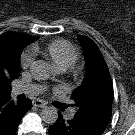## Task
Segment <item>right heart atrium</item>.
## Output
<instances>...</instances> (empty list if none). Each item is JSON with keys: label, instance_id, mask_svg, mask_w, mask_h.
I'll list each match as a JSON object with an SVG mask.
<instances>
[{"label": "right heart atrium", "instance_id": "1", "mask_svg": "<svg viewBox=\"0 0 135 135\" xmlns=\"http://www.w3.org/2000/svg\"><path fill=\"white\" fill-rule=\"evenodd\" d=\"M33 51L31 50H26L24 51L21 56H20V65L24 69H28L31 64L33 63Z\"/></svg>", "mask_w": 135, "mask_h": 135}]
</instances>
